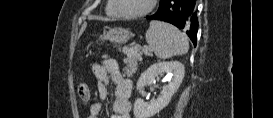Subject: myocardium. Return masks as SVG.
Listing matches in <instances>:
<instances>
[{"instance_id":"f54148a6","label":"myocardium","mask_w":273,"mask_h":118,"mask_svg":"<svg viewBox=\"0 0 273 118\" xmlns=\"http://www.w3.org/2000/svg\"><path fill=\"white\" fill-rule=\"evenodd\" d=\"M156 1L157 0H150L147 8H145L143 11L137 12V13H127V12L123 11L121 8L120 0H113V5H114V8L116 9L117 13L120 16H122L126 19H134V18L143 17V16L149 14L154 9Z\"/></svg>"}]
</instances>
